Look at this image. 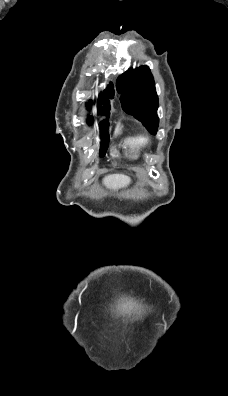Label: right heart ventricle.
Instances as JSON below:
<instances>
[{"label":"right heart ventricle","mask_w":228,"mask_h":396,"mask_svg":"<svg viewBox=\"0 0 228 396\" xmlns=\"http://www.w3.org/2000/svg\"><path fill=\"white\" fill-rule=\"evenodd\" d=\"M148 144V138L143 134H136L125 140V145L134 154H137L141 149Z\"/></svg>","instance_id":"obj_1"}]
</instances>
